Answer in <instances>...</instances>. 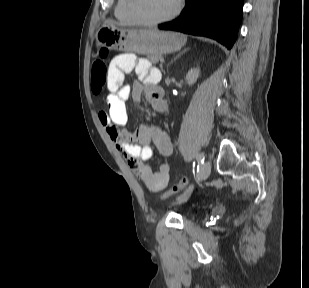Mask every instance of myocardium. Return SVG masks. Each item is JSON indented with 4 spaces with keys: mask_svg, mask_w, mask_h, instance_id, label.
I'll use <instances>...</instances> for the list:
<instances>
[{
    "mask_svg": "<svg viewBox=\"0 0 309 288\" xmlns=\"http://www.w3.org/2000/svg\"><path fill=\"white\" fill-rule=\"evenodd\" d=\"M136 2L137 0H127V12L134 23L142 26H157L170 21L181 12L184 5V0H177L176 6L171 13L159 19L148 20L139 15L136 8Z\"/></svg>",
    "mask_w": 309,
    "mask_h": 288,
    "instance_id": "f54148a6",
    "label": "myocardium"
}]
</instances>
